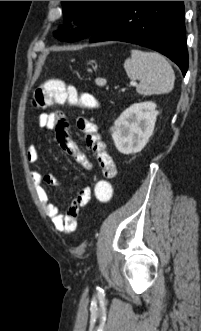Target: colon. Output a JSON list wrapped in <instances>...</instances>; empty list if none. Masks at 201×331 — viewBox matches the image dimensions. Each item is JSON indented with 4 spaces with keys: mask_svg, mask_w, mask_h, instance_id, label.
I'll use <instances>...</instances> for the list:
<instances>
[{
    "mask_svg": "<svg viewBox=\"0 0 201 331\" xmlns=\"http://www.w3.org/2000/svg\"><path fill=\"white\" fill-rule=\"evenodd\" d=\"M55 104L80 105L85 108L96 106L95 99L89 94H79L74 86L58 79L43 82L33 95V105L37 108H48ZM96 200L107 204L113 196V186L108 179H99L94 188Z\"/></svg>",
    "mask_w": 201,
    "mask_h": 331,
    "instance_id": "1",
    "label": "colon"
}]
</instances>
